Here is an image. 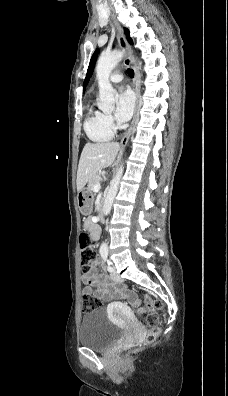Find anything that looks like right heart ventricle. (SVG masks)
Returning a JSON list of instances; mask_svg holds the SVG:
<instances>
[{"mask_svg": "<svg viewBox=\"0 0 228 396\" xmlns=\"http://www.w3.org/2000/svg\"><path fill=\"white\" fill-rule=\"evenodd\" d=\"M84 130L93 142H106L113 138L114 130L107 125L105 114L100 110L91 108L84 122Z\"/></svg>", "mask_w": 228, "mask_h": 396, "instance_id": "e07e8e85", "label": "right heart ventricle"}]
</instances>
